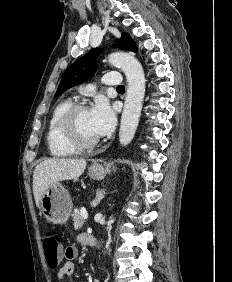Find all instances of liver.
Returning <instances> with one entry per match:
<instances>
[{"label":"liver","instance_id":"liver-1","mask_svg":"<svg viewBox=\"0 0 232 282\" xmlns=\"http://www.w3.org/2000/svg\"><path fill=\"white\" fill-rule=\"evenodd\" d=\"M84 159L50 158L39 163L33 172V194L40 207L44 192L59 181L80 177L85 168Z\"/></svg>","mask_w":232,"mask_h":282}]
</instances>
